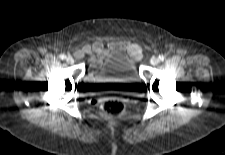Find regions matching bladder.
<instances>
[{"label":"bladder","instance_id":"1","mask_svg":"<svg viewBox=\"0 0 225 155\" xmlns=\"http://www.w3.org/2000/svg\"><path fill=\"white\" fill-rule=\"evenodd\" d=\"M90 75L104 77L132 95L138 94L142 89L135 62L121 50L111 51L106 57L98 59L92 65Z\"/></svg>","mask_w":225,"mask_h":155}]
</instances>
